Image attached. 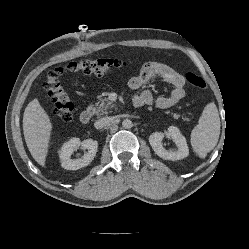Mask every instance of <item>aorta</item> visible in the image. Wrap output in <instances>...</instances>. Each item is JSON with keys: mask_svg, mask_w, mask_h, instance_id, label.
I'll return each instance as SVG.
<instances>
[{"mask_svg": "<svg viewBox=\"0 0 249 249\" xmlns=\"http://www.w3.org/2000/svg\"><path fill=\"white\" fill-rule=\"evenodd\" d=\"M122 126H123L125 129H129V128H131V127L133 126V123H132L131 120L125 119V120H123V122H122Z\"/></svg>", "mask_w": 249, "mask_h": 249, "instance_id": "1", "label": "aorta"}]
</instances>
